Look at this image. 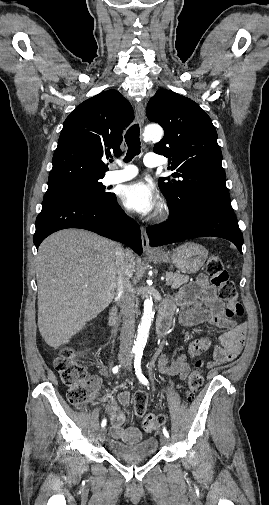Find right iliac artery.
<instances>
[{
	"label": "right iliac artery",
	"mask_w": 269,
	"mask_h": 505,
	"mask_svg": "<svg viewBox=\"0 0 269 505\" xmlns=\"http://www.w3.org/2000/svg\"><path fill=\"white\" fill-rule=\"evenodd\" d=\"M119 368H120V365H119V366L117 365V366L113 367L112 372H113L114 374L118 373ZM106 423H107L106 419H103V420H102V423H101V426H102V427H105V426H106Z\"/></svg>",
	"instance_id": "obj_1"
}]
</instances>
